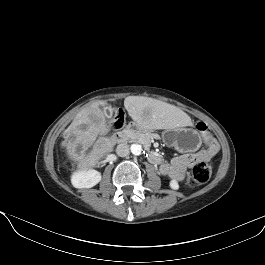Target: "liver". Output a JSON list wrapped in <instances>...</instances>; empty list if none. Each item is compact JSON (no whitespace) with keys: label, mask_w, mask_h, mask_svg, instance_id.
I'll return each mask as SVG.
<instances>
[{"label":"liver","mask_w":265,"mask_h":265,"mask_svg":"<svg viewBox=\"0 0 265 265\" xmlns=\"http://www.w3.org/2000/svg\"><path fill=\"white\" fill-rule=\"evenodd\" d=\"M106 103L96 101L83 107L63 133L65 140L61 147L66 148L69 159L77 162L79 170L95 167L101 158L113 150L114 143L105 137L109 128L100 109ZM124 107L137 125L143 128L174 129L193 125L190 116L180 108L154 98L128 96ZM91 146L92 150L86 154L85 151Z\"/></svg>","instance_id":"obj_1"}]
</instances>
